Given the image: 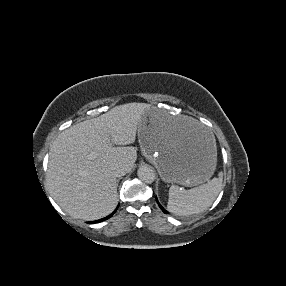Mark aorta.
<instances>
[{"mask_svg": "<svg viewBox=\"0 0 286 286\" xmlns=\"http://www.w3.org/2000/svg\"><path fill=\"white\" fill-rule=\"evenodd\" d=\"M138 178L145 183H153L155 180V172L148 166H140L137 171Z\"/></svg>", "mask_w": 286, "mask_h": 286, "instance_id": "1", "label": "aorta"}]
</instances>
